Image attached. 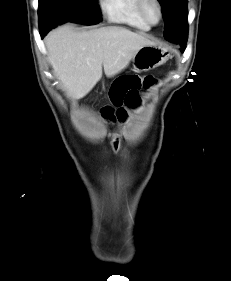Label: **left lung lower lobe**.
I'll return each instance as SVG.
<instances>
[{
    "instance_id": "1",
    "label": "left lung lower lobe",
    "mask_w": 231,
    "mask_h": 281,
    "mask_svg": "<svg viewBox=\"0 0 231 281\" xmlns=\"http://www.w3.org/2000/svg\"><path fill=\"white\" fill-rule=\"evenodd\" d=\"M168 40L181 45V51H184L187 42V32L176 31L169 35Z\"/></svg>"
}]
</instances>
